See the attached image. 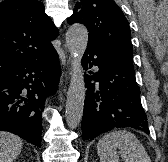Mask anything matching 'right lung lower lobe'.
<instances>
[{
	"label": "right lung lower lobe",
	"instance_id": "obj_1",
	"mask_svg": "<svg viewBox=\"0 0 168 162\" xmlns=\"http://www.w3.org/2000/svg\"><path fill=\"white\" fill-rule=\"evenodd\" d=\"M60 77L55 49L0 75V131L12 132L40 147L42 111Z\"/></svg>",
	"mask_w": 168,
	"mask_h": 162
}]
</instances>
